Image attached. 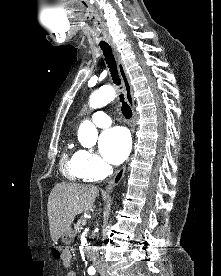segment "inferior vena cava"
<instances>
[{
    "label": "inferior vena cava",
    "mask_w": 221,
    "mask_h": 276,
    "mask_svg": "<svg viewBox=\"0 0 221 276\" xmlns=\"http://www.w3.org/2000/svg\"><path fill=\"white\" fill-rule=\"evenodd\" d=\"M112 172H113L112 167H109L108 173L112 174ZM90 260L92 261L93 265L96 268L100 267L101 262H100V259H99V249L97 247H94L92 249V252L90 254Z\"/></svg>",
    "instance_id": "obj_1"
}]
</instances>
